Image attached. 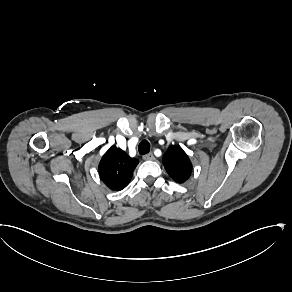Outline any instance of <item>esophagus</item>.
Masks as SVG:
<instances>
[{
    "instance_id": "1",
    "label": "esophagus",
    "mask_w": 292,
    "mask_h": 292,
    "mask_svg": "<svg viewBox=\"0 0 292 292\" xmlns=\"http://www.w3.org/2000/svg\"><path fill=\"white\" fill-rule=\"evenodd\" d=\"M144 160H150V161H153L155 159L153 153H147L146 155H143L142 157Z\"/></svg>"
}]
</instances>
